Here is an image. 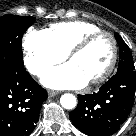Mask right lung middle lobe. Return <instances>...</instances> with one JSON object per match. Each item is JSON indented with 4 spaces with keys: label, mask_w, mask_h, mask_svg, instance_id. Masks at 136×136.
Masks as SVG:
<instances>
[{
    "label": "right lung middle lobe",
    "mask_w": 136,
    "mask_h": 136,
    "mask_svg": "<svg viewBox=\"0 0 136 136\" xmlns=\"http://www.w3.org/2000/svg\"><path fill=\"white\" fill-rule=\"evenodd\" d=\"M34 21L35 18L31 16L0 17V71L24 69L21 39Z\"/></svg>",
    "instance_id": "obj_1"
}]
</instances>
